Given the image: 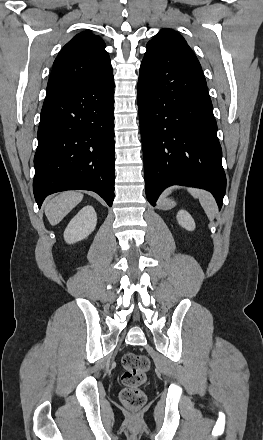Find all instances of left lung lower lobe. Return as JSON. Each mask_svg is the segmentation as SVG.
<instances>
[{"instance_id": "left-lung-lower-lobe-1", "label": "left lung lower lobe", "mask_w": 263, "mask_h": 440, "mask_svg": "<svg viewBox=\"0 0 263 440\" xmlns=\"http://www.w3.org/2000/svg\"><path fill=\"white\" fill-rule=\"evenodd\" d=\"M146 196L151 205L171 185L226 191L222 150L205 77L174 51L142 62L137 86Z\"/></svg>"}]
</instances>
